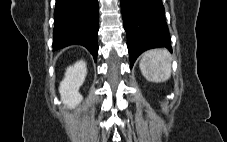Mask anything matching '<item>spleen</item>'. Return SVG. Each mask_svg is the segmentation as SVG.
<instances>
[{"instance_id": "1", "label": "spleen", "mask_w": 227, "mask_h": 142, "mask_svg": "<svg viewBox=\"0 0 227 142\" xmlns=\"http://www.w3.org/2000/svg\"><path fill=\"white\" fill-rule=\"evenodd\" d=\"M139 67L148 81L165 82L171 76V55L166 49L149 50L142 54Z\"/></svg>"}]
</instances>
